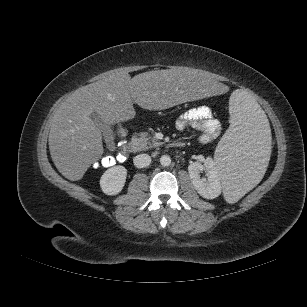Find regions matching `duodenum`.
Here are the masks:
<instances>
[{"mask_svg": "<svg viewBox=\"0 0 307 307\" xmlns=\"http://www.w3.org/2000/svg\"><path fill=\"white\" fill-rule=\"evenodd\" d=\"M171 146L174 148H182L184 146V143L181 141H173L171 143ZM138 142L135 140H130L129 141V154L135 153L138 150Z\"/></svg>", "mask_w": 307, "mask_h": 307, "instance_id": "410a0bca", "label": "duodenum"}]
</instances>
